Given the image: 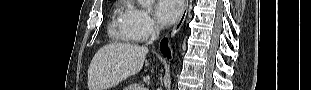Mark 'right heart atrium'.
<instances>
[{"label":"right heart atrium","mask_w":311,"mask_h":90,"mask_svg":"<svg viewBox=\"0 0 311 90\" xmlns=\"http://www.w3.org/2000/svg\"><path fill=\"white\" fill-rule=\"evenodd\" d=\"M124 25L136 41H144L157 30V24L150 13L131 3L124 15Z\"/></svg>","instance_id":"right-heart-atrium-1"}]
</instances>
